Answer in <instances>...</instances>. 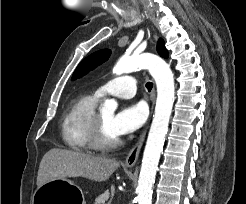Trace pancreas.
Returning <instances> with one entry per match:
<instances>
[{
	"label": "pancreas",
	"mask_w": 246,
	"mask_h": 204,
	"mask_svg": "<svg viewBox=\"0 0 246 204\" xmlns=\"http://www.w3.org/2000/svg\"><path fill=\"white\" fill-rule=\"evenodd\" d=\"M109 197V192L105 191L103 194L96 197L95 204H110V202H108Z\"/></svg>",
	"instance_id": "pancreas-1"
}]
</instances>
